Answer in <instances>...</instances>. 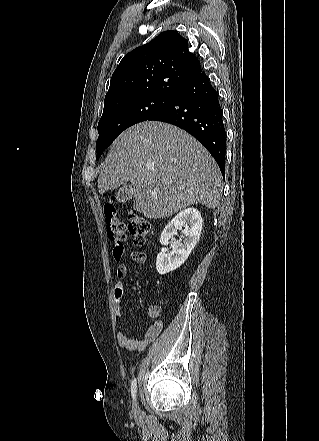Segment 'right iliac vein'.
Segmentation results:
<instances>
[{"instance_id": "right-iliac-vein-1", "label": "right iliac vein", "mask_w": 319, "mask_h": 441, "mask_svg": "<svg viewBox=\"0 0 319 441\" xmlns=\"http://www.w3.org/2000/svg\"><path fill=\"white\" fill-rule=\"evenodd\" d=\"M133 411L136 416H138L140 414V408H139V405L137 402L134 403Z\"/></svg>"}]
</instances>
